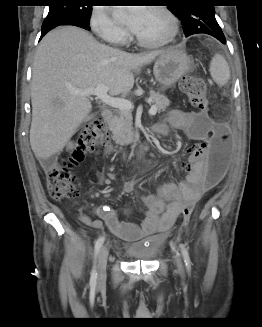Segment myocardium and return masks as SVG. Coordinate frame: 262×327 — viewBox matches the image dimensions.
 Returning a JSON list of instances; mask_svg holds the SVG:
<instances>
[{"label": "myocardium", "mask_w": 262, "mask_h": 327, "mask_svg": "<svg viewBox=\"0 0 262 327\" xmlns=\"http://www.w3.org/2000/svg\"><path fill=\"white\" fill-rule=\"evenodd\" d=\"M151 10L156 11L163 15L170 26L169 34L161 40H147L139 36L136 32H133L135 41L144 47L159 48L171 44L175 41L179 34V23L177 17L165 6L155 5L150 7Z\"/></svg>", "instance_id": "1"}]
</instances>
